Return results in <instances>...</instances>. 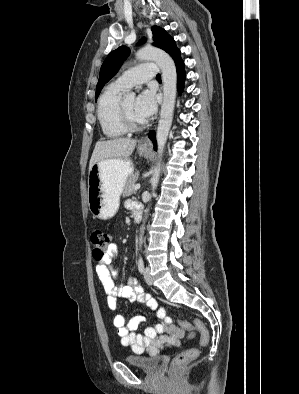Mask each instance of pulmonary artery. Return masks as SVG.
<instances>
[{
  "label": "pulmonary artery",
  "mask_w": 299,
  "mask_h": 394,
  "mask_svg": "<svg viewBox=\"0 0 299 394\" xmlns=\"http://www.w3.org/2000/svg\"><path fill=\"white\" fill-rule=\"evenodd\" d=\"M158 74V67L154 63H144L133 67L118 77L116 83L124 89L132 88L154 78Z\"/></svg>",
  "instance_id": "e3ab8cb5"
}]
</instances>
